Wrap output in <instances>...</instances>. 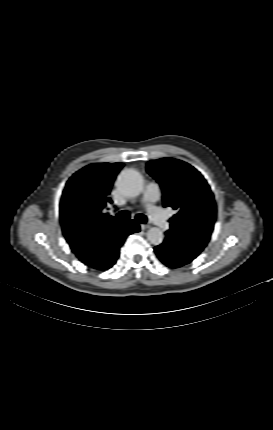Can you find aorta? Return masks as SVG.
Returning <instances> with one entry per match:
<instances>
[{"instance_id":"1","label":"aorta","mask_w":273,"mask_h":430,"mask_svg":"<svg viewBox=\"0 0 273 430\" xmlns=\"http://www.w3.org/2000/svg\"><path fill=\"white\" fill-rule=\"evenodd\" d=\"M116 184L125 196L134 198L143 189V178L138 171L128 169L119 174ZM147 239L153 245H160L163 242L164 234L159 228L152 227L147 232Z\"/></svg>"}]
</instances>
